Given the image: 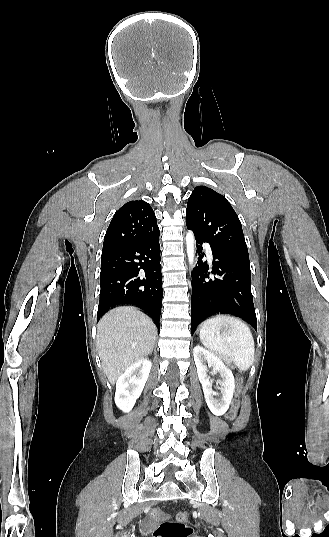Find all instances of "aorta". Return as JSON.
<instances>
[{
  "label": "aorta",
  "mask_w": 329,
  "mask_h": 537,
  "mask_svg": "<svg viewBox=\"0 0 329 537\" xmlns=\"http://www.w3.org/2000/svg\"><path fill=\"white\" fill-rule=\"evenodd\" d=\"M185 241L189 266L193 268L195 265V238L191 231L186 234Z\"/></svg>",
  "instance_id": "1"
}]
</instances>
